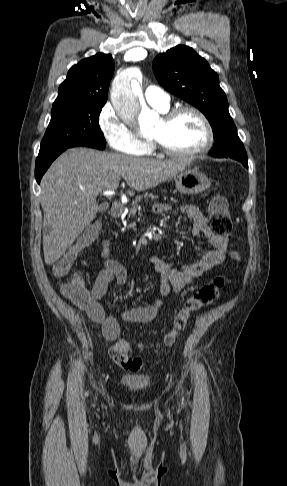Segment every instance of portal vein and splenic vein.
Returning a JSON list of instances; mask_svg holds the SVG:
<instances>
[{
    "label": "portal vein and splenic vein",
    "instance_id": "18ae733b",
    "mask_svg": "<svg viewBox=\"0 0 287 486\" xmlns=\"http://www.w3.org/2000/svg\"><path fill=\"white\" fill-rule=\"evenodd\" d=\"M119 182L113 183L112 187L106 191L103 192L104 195H111L114 193V190L118 187Z\"/></svg>",
    "mask_w": 287,
    "mask_h": 486
}]
</instances>
